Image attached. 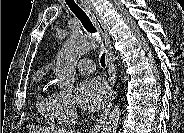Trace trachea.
I'll list each match as a JSON object with an SVG mask.
<instances>
[{
  "label": "trachea",
  "mask_w": 184,
  "mask_h": 133,
  "mask_svg": "<svg viewBox=\"0 0 184 133\" xmlns=\"http://www.w3.org/2000/svg\"><path fill=\"white\" fill-rule=\"evenodd\" d=\"M66 4L70 10L76 15V17L81 21L84 28L91 34L95 33L96 30L86 12L74 1V0H65ZM100 63L102 67H105V53L101 55Z\"/></svg>",
  "instance_id": "3493384b"
}]
</instances>
